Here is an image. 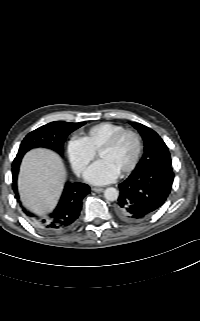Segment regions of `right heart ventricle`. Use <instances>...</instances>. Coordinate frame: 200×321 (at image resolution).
I'll use <instances>...</instances> for the list:
<instances>
[{
	"instance_id": "e07e8e85",
	"label": "right heart ventricle",
	"mask_w": 200,
	"mask_h": 321,
	"mask_svg": "<svg viewBox=\"0 0 200 321\" xmlns=\"http://www.w3.org/2000/svg\"><path fill=\"white\" fill-rule=\"evenodd\" d=\"M123 129L125 127L121 124L101 122L88 128L81 138L96 152L108 139Z\"/></svg>"
}]
</instances>
